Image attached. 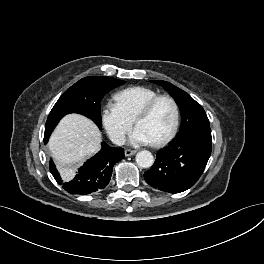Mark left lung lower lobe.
I'll return each mask as SVG.
<instances>
[{
  "label": "left lung lower lobe",
  "instance_id": "obj_1",
  "mask_svg": "<svg viewBox=\"0 0 264 264\" xmlns=\"http://www.w3.org/2000/svg\"><path fill=\"white\" fill-rule=\"evenodd\" d=\"M211 146L210 128L176 137L157 154L153 166L144 173L145 181L156 189L170 193L189 189L203 173Z\"/></svg>",
  "mask_w": 264,
  "mask_h": 264
}]
</instances>
